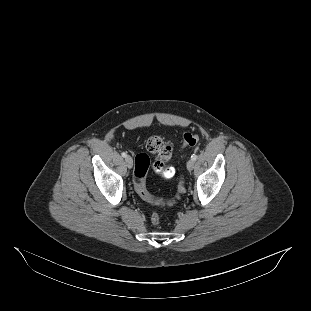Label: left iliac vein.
I'll use <instances>...</instances> for the list:
<instances>
[{
    "mask_svg": "<svg viewBox=\"0 0 311 311\" xmlns=\"http://www.w3.org/2000/svg\"><path fill=\"white\" fill-rule=\"evenodd\" d=\"M194 166H195V161L194 160H189L188 162H187V169L189 170V171H191V170H193L194 169Z\"/></svg>",
    "mask_w": 311,
    "mask_h": 311,
    "instance_id": "4c4485c4",
    "label": "left iliac vein"
}]
</instances>
